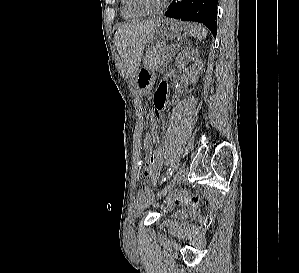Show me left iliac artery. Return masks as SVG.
Returning a JSON list of instances; mask_svg holds the SVG:
<instances>
[{"label":"left iliac artery","mask_w":299,"mask_h":273,"mask_svg":"<svg viewBox=\"0 0 299 273\" xmlns=\"http://www.w3.org/2000/svg\"><path fill=\"white\" fill-rule=\"evenodd\" d=\"M176 168L175 165L169 168L168 172L163 176L161 183L165 182L173 174Z\"/></svg>","instance_id":"left-iliac-artery-1"}]
</instances>
